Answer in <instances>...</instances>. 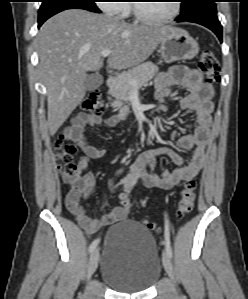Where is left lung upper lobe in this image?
<instances>
[{"mask_svg": "<svg viewBox=\"0 0 248 299\" xmlns=\"http://www.w3.org/2000/svg\"><path fill=\"white\" fill-rule=\"evenodd\" d=\"M206 14H217L215 0H182L180 17L184 20Z\"/></svg>", "mask_w": 248, "mask_h": 299, "instance_id": "1", "label": "left lung upper lobe"}]
</instances>
